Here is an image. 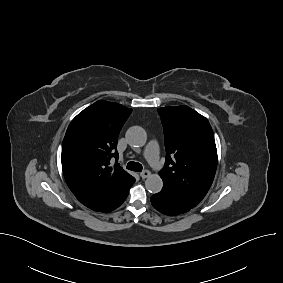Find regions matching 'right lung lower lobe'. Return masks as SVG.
I'll list each match as a JSON object with an SVG mask.
<instances>
[{"label":"right lung lower lobe","instance_id":"obj_1","mask_svg":"<svg viewBox=\"0 0 283 283\" xmlns=\"http://www.w3.org/2000/svg\"><path fill=\"white\" fill-rule=\"evenodd\" d=\"M134 182H135V179H134L133 183ZM133 183L131 184V186L133 185ZM129 189L115 203H113L108 208H106L105 210L100 211V212L107 213V212H111V211L115 210L116 208H118L127 198Z\"/></svg>","mask_w":283,"mask_h":283}]
</instances>
